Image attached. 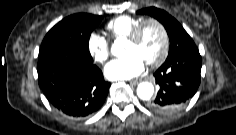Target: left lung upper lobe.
Instances as JSON below:
<instances>
[{"instance_id": "left-lung-upper-lobe-1", "label": "left lung upper lobe", "mask_w": 236, "mask_h": 135, "mask_svg": "<svg viewBox=\"0 0 236 135\" xmlns=\"http://www.w3.org/2000/svg\"><path fill=\"white\" fill-rule=\"evenodd\" d=\"M137 13L148 14L160 21L165 27L170 40L167 59L182 54L190 48L196 47L192 38L184 30L181 24L164 10L149 7L139 10Z\"/></svg>"}]
</instances>
